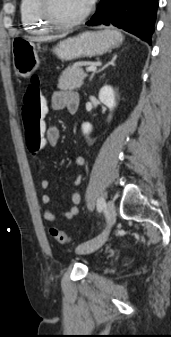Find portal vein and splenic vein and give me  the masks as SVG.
<instances>
[{"label":"portal vein and splenic vein","mask_w":171,"mask_h":337,"mask_svg":"<svg viewBox=\"0 0 171 337\" xmlns=\"http://www.w3.org/2000/svg\"><path fill=\"white\" fill-rule=\"evenodd\" d=\"M96 69H97L96 66H90V67L86 68V71H88V72H93V71H95Z\"/></svg>","instance_id":"portal-vein-and-splenic-vein-1"}]
</instances>
